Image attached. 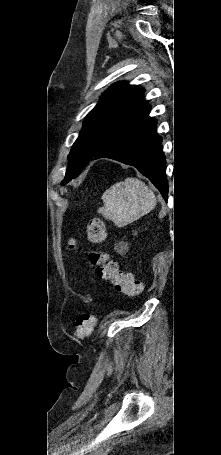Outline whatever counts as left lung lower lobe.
I'll use <instances>...</instances> for the list:
<instances>
[{
	"instance_id": "left-lung-lower-lobe-1",
	"label": "left lung lower lobe",
	"mask_w": 221,
	"mask_h": 455,
	"mask_svg": "<svg viewBox=\"0 0 221 455\" xmlns=\"http://www.w3.org/2000/svg\"><path fill=\"white\" fill-rule=\"evenodd\" d=\"M155 127L156 121L148 113L116 135L93 159L110 158L136 167L167 201L166 160L161 150L162 138Z\"/></svg>"
}]
</instances>
